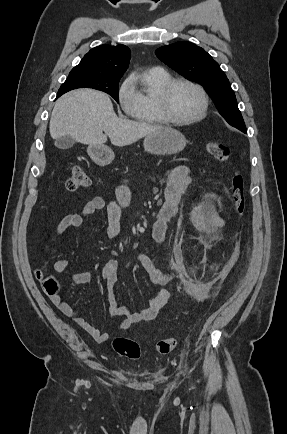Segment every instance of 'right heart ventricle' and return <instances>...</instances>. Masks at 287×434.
Listing matches in <instances>:
<instances>
[{
  "label": "right heart ventricle",
  "instance_id": "e07e8e85",
  "mask_svg": "<svg viewBox=\"0 0 287 434\" xmlns=\"http://www.w3.org/2000/svg\"><path fill=\"white\" fill-rule=\"evenodd\" d=\"M171 79L170 74L160 69L159 71L146 72V80L157 90ZM141 95V104L138 110L132 115L137 121L149 124H162V119L157 109L155 94L145 89L139 90Z\"/></svg>",
  "mask_w": 287,
  "mask_h": 434
}]
</instances>
